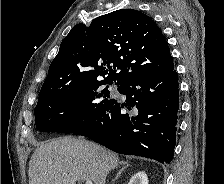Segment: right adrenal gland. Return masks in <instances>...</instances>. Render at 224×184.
Returning <instances> with one entry per match:
<instances>
[{"label": "right adrenal gland", "mask_w": 224, "mask_h": 184, "mask_svg": "<svg viewBox=\"0 0 224 184\" xmlns=\"http://www.w3.org/2000/svg\"><path fill=\"white\" fill-rule=\"evenodd\" d=\"M120 164H122V165H126V166L122 167V168L119 170V172L117 173L115 179H118V177L121 175V173L124 171V169H125L126 167L129 166V164H128L127 162H124V161H120ZM115 179H114V180H115ZM114 180H113V181H114Z\"/></svg>", "instance_id": "right-adrenal-gland-1"}]
</instances>
